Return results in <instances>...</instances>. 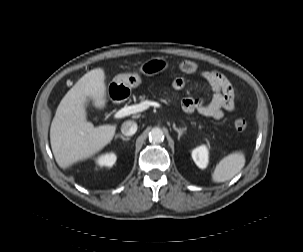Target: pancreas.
<instances>
[{
  "label": "pancreas",
  "mask_w": 303,
  "mask_h": 252,
  "mask_svg": "<svg viewBox=\"0 0 303 252\" xmlns=\"http://www.w3.org/2000/svg\"><path fill=\"white\" fill-rule=\"evenodd\" d=\"M139 99L141 100V102H144L147 100V97L145 95L140 96Z\"/></svg>",
  "instance_id": "cf45deb5"
}]
</instances>
